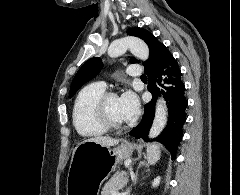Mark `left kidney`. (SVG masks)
I'll use <instances>...</instances> for the list:
<instances>
[{
  "label": "left kidney",
  "mask_w": 240,
  "mask_h": 195,
  "mask_svg": "<svg viewBox=\"0 0 240 195\" xmlns=\"http://www.w3.org/2000/svg\"><path fill=\"white\" fill-rule=\"evenodd\" d=\"M160 179H161L160 175H158V177H155V179H153L152 181L153 187H157V185H159Z\"/></svg>",
  "instance_id": "1"
}]
</instances>
